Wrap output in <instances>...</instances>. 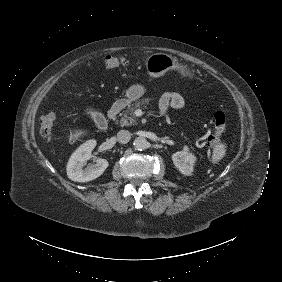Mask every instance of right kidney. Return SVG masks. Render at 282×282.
Instances as JSON below:
<instances>
[{
    "instance_id": "right-kidney-1",
    "label": "right kidney",
    "mask_w": 282,
    "mask_h": 282,
    "mask_svg": "<svg viewBox=\"0 0 282 282\" xmlns=\"http://www.w3.org/2000/svg\"><path fill=\"white\" fill-rule=\"evenodd\" d=\"M96 143L95 139L87 140L72 153L66 167L69 179L76 182H87L103 174L108 167L106 159L96 158L95 164H89L83 169L85 162L92 157L91 152Z\"/></svg>"
}]
</instances>
